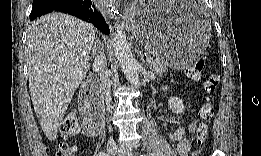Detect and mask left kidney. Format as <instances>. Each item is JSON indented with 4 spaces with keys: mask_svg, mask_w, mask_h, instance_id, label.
I'll return each mask as SVG.
<instances>
[{
    "mask_svg": "<svg viewBox=\"0 0 261 156\" xmlns=\"http://www.w3.org/2000/svg\"><path fill=\"white\" fill-rule=\"evenodd\" d=\"M169 108L176 114H181L185 110L183 101L178 97H171L168 101Z\"/></svg>",
    "mask_w": 261,
    "mask_h": 156,
    "instance_id": "5707ae66",
    "label": "left kidney"
}]
</instances>
